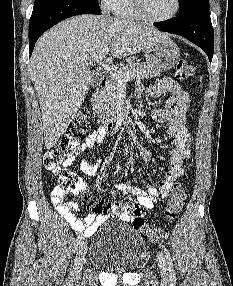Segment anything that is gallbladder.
I'll list each match as a JSON object with an SVG mask.
<instances>
[{"mask_svg": "<svg viewBox=\"0 0 233 286\" xmlns=\"http://www.w3.org/2000/svg\"><path fill=\"white\" fill-rule=\"evenodd\" d=\"M99 80H100L99 77H97L96 75H94L92 84L96 86V85L99 83Z\"/></svg>", "mask_w": 233, "mask_h": 286, "instance_id": "1", "label": "gallbladder"}]
</instances>
